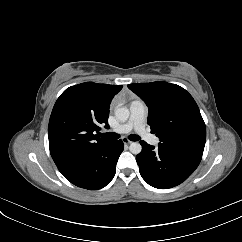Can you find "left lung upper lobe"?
<instances>
[{
    "label": "left lung upper lobe",
    "mask_w": 242,
    "mask_h": 242,
    "mask_svg": "<svg viewBox=\"0 0 242 242\" xmlns=\"http://www.w3.org/2000/svg\"><path fill=\"white\" fill-rule=\"evenodd\" d=\"M149 108L147 123L160 138L159 147L202 158L206 127L192 96L167 82L129 84Z\"/></svg>",
    "instance_id": "obj_1"
}]
</instances>
